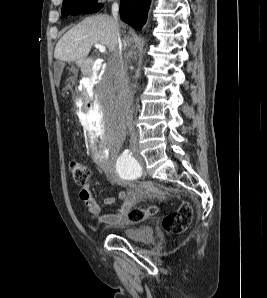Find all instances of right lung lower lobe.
<instances>
[{"label":"right lung lower lobe","instance_id":"98d812e1","mask_svg":"<svg viewBox=\"0 0 267 298\" xmlns=\"http://www.w3.org/2000/svg\"><path fill=\"white\" fill-rule=\"evenodd\" d=\"M151 0H121L120 15L122 21L141 30L147 19Z\"/></svg>","mask_w":267,"mask_h":298}]
</instances>
